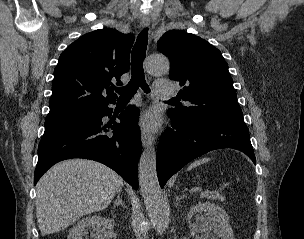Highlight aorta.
<instances>
[{"label":"aorta","mask_w":304,"mask_h":239,"mask_svg":"<svg viewBox=\"0 0 304 239\" xmlns=\"http://www.w3.org/2000/svg\"><path fill=\"white\" fill-rule=\"evenodd\" d=\"M147 72L151 75H164L169 72V60L162 55H152L146 61ZM139 182L141 194L149 218L159 233H163L167 223V211L156 171V152L147 147L139 161Z\"/></svg>","instance_id":"1"}]
</instances>
